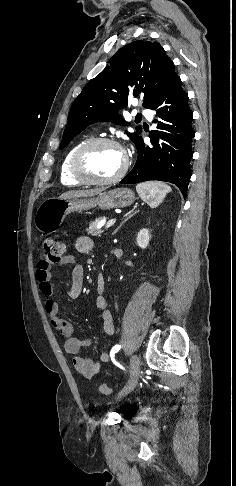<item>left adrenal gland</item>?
Masks as SVG:
<instances>
[{
    "label": "left adrenal gland",
    "instance_id": "obj_1",
    "mask_svg": "<svg viewBox=\"0 0 236 486\" xmlns=\"http://www.w3.org/2000/svg\"><path fill=\"white\" fill-rule=\"evenodd\" d=\"M139 210L135 211L134 213H132L131 215H129L116 229L115 231L113 232V235L117 233V231L121 228V226L128 220L130 219L133 215H135Z\"/></svg>",
    "mask_w": 236,
    "mask_h": 486
}]
</instances>
